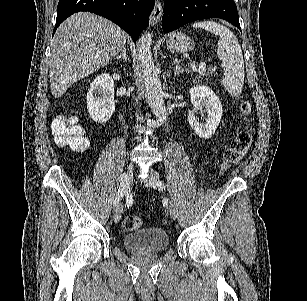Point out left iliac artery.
<instances>
[{
    "label": "left iliac artery",
    "mask_w": 307,
    "mask_h": 301,
    "mask_svg": "<svg viewBox=\"0 0 307 301\" xmlns=\"http://www.w3.org/2000/svg\"><path fill=\"white\" fill-rule=\"evenodd\" d=\"M158 184H159L161 187H162V186L165 187L164 184L161 183V182H158Z\"/></svg>",
    "instance_id": "obj_1"
}]
</instances>
